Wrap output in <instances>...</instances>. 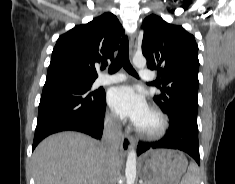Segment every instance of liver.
<instances>
[{"label":"liver","instance_id":"liver-1","mask_svg":"<svg viewBox=\"0 0 235 184\" xmlns=\"http://www.w3.org/2000/svg\"><path fill=\"white\" fill-rule=\"evenodd\" d=\"M113 162L100 142L78 132L45 138L32 156L35 184H101Z\"/></svg>","mask_w":235,"mask_h":184}]
</instances>
